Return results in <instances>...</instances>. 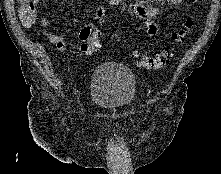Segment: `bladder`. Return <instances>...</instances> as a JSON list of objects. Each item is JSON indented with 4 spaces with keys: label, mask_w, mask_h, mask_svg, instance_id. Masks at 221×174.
I'll use <instances>...</instances> for the list:
<instances>
[{
    "label": "bladder",
    "mask_w": 221,
    "mask_h": 174,
    "mask_svg": "<svg viewBox=\"0 0 221 174\" xmlns=\"http://www.w3.org/2000/svg\"><path fill=\"white\" fill-rule=\"evenodd\" d=\"M135 96L136 79L127 67L104 63L93 71L90 98L99 107L120 110L129 106Z\"/></svg>",
    "instance_id": "bladder-1"
}]
</instances>
